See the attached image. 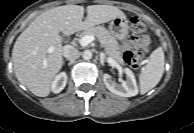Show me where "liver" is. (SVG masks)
Instances as JSON below:
<instances>
[{
	"label": "liver",
	"instance_id": "liver-1",
	"mask_svg": "<svg viewBox=\"0 0 194 133\" xmlns=\"http://www.w3.org/2000/svg\"><path fill=\"white\" fill-rule=\"evenodd\" d=\"M83 16V6L55 7L37 16L17 38L12 50L15 76L34 95L50 94L53 80L63 65L60 32L71 35L125 14L115 6L90 5L84 21ZM50 47L54 48L51 53Z\"/></svg>",
	"mask_w": 194,
	"mask_h": 133
}]
</instances>
